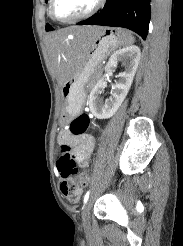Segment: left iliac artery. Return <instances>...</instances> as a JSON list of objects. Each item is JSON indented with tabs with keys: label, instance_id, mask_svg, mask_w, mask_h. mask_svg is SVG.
I'll list each match as a JSON object with an SVG mask.
<instances>
[{
	"label": "left iliac artery",
	"instance_id": "obj_1",
	"mask_svg": "<svg viewBox=\"0 0 183 246\" xmlns=\"http://www.w3.org/2000/svg\"><path fill=\"white\" fill-rule=\"evenodd\" d=\"M89 195H90V190H88V191L86 192V194L84 195V206H85V204L87 203V201H88V199H89Z\"/></svg>",
	"mask_w": 183,
	"mask_h": 246
}]
</instances>
